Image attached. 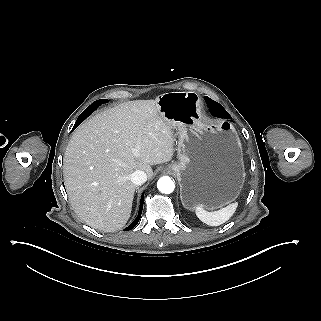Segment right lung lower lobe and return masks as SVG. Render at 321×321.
I'll return each mask as SVG.
<instances>
[{"mask_svg":"<svg viewBox=\"0 0 321 321\" xmlns=\"http://www.w3.org/2000/svg\"><path fill=\"white\" fill-rule=\"evenodd\" d=\"M108 102L105 99H101V100H97L95 102H93L88 108H86L78 117L73 130L82 122L84 121L89 115H91V113L96 110V108H98L101 104ZM143 199H144V193L142 194L141 197V201H140V208H139V212H138V216L136 217V219L125 229L126 231L131 230L132 228H134L137 223L139 222L141 213H142V209H143Z\"/></svg>","mask_w":321,"mask_h":321,"instance_id":"obj_1","label":"right lung lower lobe"}]
</instances>
